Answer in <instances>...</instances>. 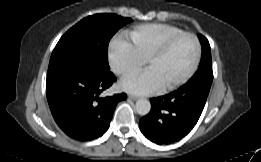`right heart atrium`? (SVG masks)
<instances>
[{
	"label": "right heart atrium",
	"instance_id": "obj_1",
	"mask_svg": "<svg viewBox=\"0 0 261 162\" xmlns=\"http://www.w3.org/2000/svg\"><path fill=\"white\" fill-rule=\"evenodd\" d=\"M108 62L116 75L125 77L139 71L144 64V59L135 51L129 41L117 37L109 44Z\"/></svg>",
	"mask_w": 261,
	"mask_h": 162
}]
</instances>
